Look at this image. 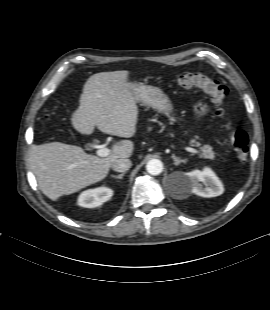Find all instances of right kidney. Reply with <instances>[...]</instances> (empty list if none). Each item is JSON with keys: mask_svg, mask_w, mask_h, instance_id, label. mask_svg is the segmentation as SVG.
<instances>
[{"mask_svg": "<svg viewBox=\"0 0 270 310\" xmlns=\"http://www.w3.org/2000/svg\"><path fill=\"white\" fill-rule=\"evenodd\" d=\"M113 191L107 187H98L82 192L78 197V205L85 208H94L108 201Z\"/></svg>", "mask_w": 270, "mask_h": 310, "instance_id": "obj_1", "label": "right kidney"}]
</instances>
